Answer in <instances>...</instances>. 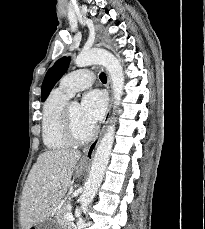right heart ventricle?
<instances>
[{"instance_id":"obj_1","label":"right heart ventricle","mask_w":205,"mask_h":229,"mask_svg":"<svg viewBox=\"0 0 205 229\" xmlns=\"http://www.w3.org/2000/svg\"><path fill=\"white\" fill-rule=\"evenodd\" d=\"M70 96L56 89L49 94L43 105L42 138L49 150L66 149L71 143L65 139L61 131V116Z\"/></svg>"}]
</instances>
